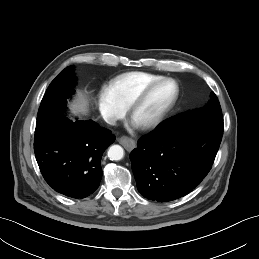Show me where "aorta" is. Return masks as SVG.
<instances>
[{
	"label": "aorta",
	"instance_id": "762f6f07",
	"mask_svg": "<svg viewBox=\"0 0 259 259\" xmlns=\"http://www.w3.org/2000/svg\"><path fill=\"white\" fill-rule=\"evenodd\" d=\"M124 156V150L120 145H113L108 150V157L111 160H121Z\"/></svg>",
	"mask_w": 259,
	"mask_h": 259
}]
</instances>
